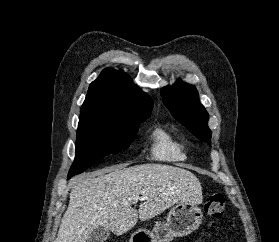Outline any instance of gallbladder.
Wrapping results in <instances>:
<instances>
[{"mask_svg":"<svg viewBox=\"0 0 279 242\" xmlns=\"http://www.w3.org/2000/svg\"><path fill=\"white\" fill-rule=\"evenodd\" d=\"M109 236L110 232L108 229L99 227L89 235L87 242H105Z\"/></svg>","mask_w":279,"mask_h":242,"instance_id":"gallbladder-1","label":"gallbladder"}]
</instances>
